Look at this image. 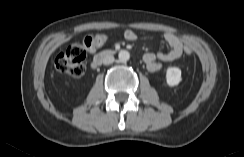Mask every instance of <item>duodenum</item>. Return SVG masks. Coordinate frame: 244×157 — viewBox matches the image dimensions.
Returning <instances> with one entry per match:
<instances>
[{
    "label": "duodenum",
    "mask_w": 244,
    "mask_h": 157,
    "mask_svg": "<svg viewBox=\"0 0 244 157\" xmlns=\"http://www.w3.org/2000/svg\"><path fill=\"white\" fill-rule=\"evenodd\" d=\"M115 53L114 50H104L102 52H99L98 54H96L91 62V66L92 68H96L99 65H101V63L103 62L104 59L112 56Z\"/></svg>",
    "instance_id": "1"
}]
</instances>
